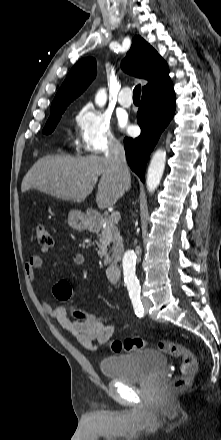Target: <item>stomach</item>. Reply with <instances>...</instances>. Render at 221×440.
<instances>
[{
    "label": "stomach",
    "mask_w": 221,
    "mask_h": 440,
    "mask_svg": "<svg viewBox=\"0 0 221 440\" xmlns=\"http://www.w3.org/2000/svg\"><path fill=\"white\" fill-rule=\"evenodd\" d=\"M68 224L75 230L83 231L92 225V220L81 211L72 210L68 215Z\"/></svg>",
    "instance_id": "0dacf381"
}]
</instances>
